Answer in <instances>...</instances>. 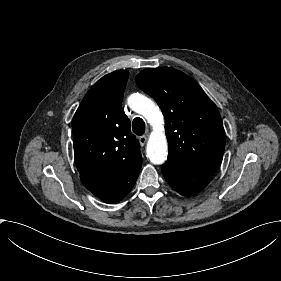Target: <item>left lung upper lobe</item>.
Segmentation results:
<instances>
[{"mask_svg": "<svg viewBox=\"0 0 281 281\" xmlns=\"http://www.w3.org/2000/svg\"><path fill=\"white\" fill-rule=\"evenodd\" d=\"M136 83L163 112L168 159L189 165H220L225 148L221 116L192 78L171 67L147 68L136 76Z\"/></svg>", "mask_w": 281, "mask_h": 281, "instance_id": "1", "label": "left lung upper lobe"}]
</instances>
